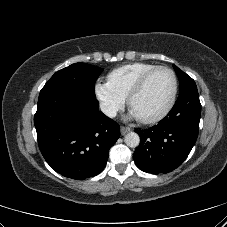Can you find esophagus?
I'll return each instance as SVG.
<instances>
[{
    "label": "esophagus",
    "mask_w": 227,
    "mask_h": 227,
    "mask_svg": "<svg viewBox=\"0 0 227 227\" xmlns=\"http://www.w3.org/2000/svg\"><path fill=\"white\" fill-rule=\"evenodd\" d=\"M129 131H130V128L129 127H124V126L121 127V134L122 135H125Z\"/></svg>",
    "instance_id": "esophagus-1"
}]
</instances>
